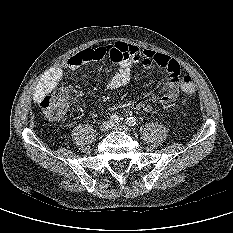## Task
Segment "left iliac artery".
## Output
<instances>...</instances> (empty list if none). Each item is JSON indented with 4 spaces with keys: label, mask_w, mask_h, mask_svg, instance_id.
Segmentation results:
<instances>
[{
    "label": "left iliac artery",
    "mask_w": 233,
    "mask_h": 233,
    "mask_svg": "<svg viewBox=\"0 0 233 233\" xmlns=\"http://www.w3.org/2000/svg\"><path fill=\"white\" fill-rule=\"evenodd\" d=\"M129 126H131V127H133V126H135V124H136V118H134V117H129V118H127V122H126Z\"/></svg>",
    "instance_id": "44dca946"
}]
</instances>
